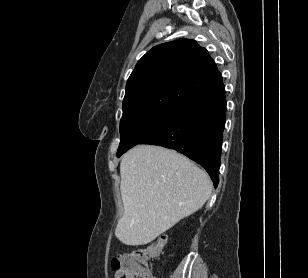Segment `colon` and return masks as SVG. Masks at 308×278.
I'll use <instances>...</instances> for the list:
<instances>
[{"label":"colon","instance_id":"obj_1","mask_svg":"<svg viewBox=\"0 0 308 278\" xmlns=\"http://www.w3.org/2000/svg\"><path fill=\"white\" fill-rule=\"evenodd\" d=\"M166 242L164 235L159 236L147 246L132 252H120L112 260L115 274L121 278H153L149 261L159 255Z\"/></svg>","mask_w":308,"mask_h":278}]
</instances>
